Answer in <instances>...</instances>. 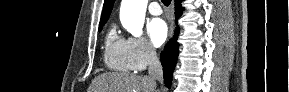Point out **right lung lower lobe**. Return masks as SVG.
I'll use <instances>...</instances> for the list:
<instances>
[{
    "mask_svg": "<svg viewBox=\"0 0 289 92\" xmlns=\"http://www.w3.org/2000/svg\"><path fill=\"white\" fill-rule=\"evenodd\" d=\"M181 0H175V15H176V21L179 16H181L182 11L184 10L183 7H181ZM179 34V29H176V33L174 35V38L171 39L167 45L164 47V51L161 53L160 60L163 66V74H164V81L166 83V86L169 87L171 85L172 80V73L175 68L177 58H178V46L177 43V36Z\"/></svg>",
    "mask_w": 289,
    "mask_h": 92,
    "instance_id": "right-lung-lower-lobe-1",
    "label": "right lung lower lobe"
}]
</instances>
